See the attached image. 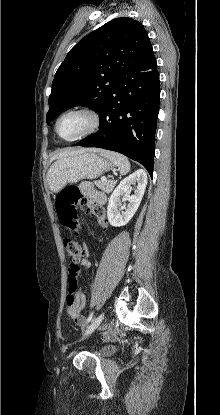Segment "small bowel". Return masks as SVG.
Masks as SVG:
<instances>
[{"label":"small bowel","instance_id":"1","mask_svg":"<svg viewBox=\"0 0 220 415\" xmlns=\"http://www.w3.org/2000/svg\"><path fill=\"white\" fill-rule=\"evenodd\" d=\"M82 193L84 194L85 203L89 209H92L94 205L102 206L106 202V196L104 193L95 190L88 185L82 186ZM97 219L102 226H106L105 215L103 217H97ZM90 267V250L88 245L84 244V256L78 263V270L80 268H82L83 270H88ZM85 304V296L81 293L80 290H78L75 295L74 302L71 305H66L68 318L82 328H84L86 325L85 315L83 314Z\"/></svg>","mask_w":220,"mask_h":415}]
</instances>
